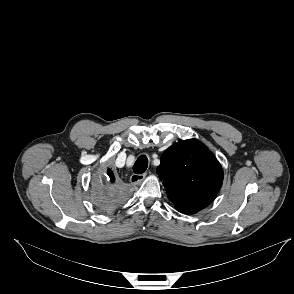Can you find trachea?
<instances>
[{
	"mask_svg": "<svg viewBox=\"0 0 294 294\" xmlns=\"http://www.w3.org/2000/svg\"><path fill=\"white\" fill-rule=\"evenodd\" d=\"M147 167H148V158L145 155H141L136 160L133 166V171L136 174H142L146 171Z\"/></svg>",
	"mask_w": 294,
	"mask_h": 294,
	"instance_id": "1",
	"label": "trachea"
}]
</instances>
